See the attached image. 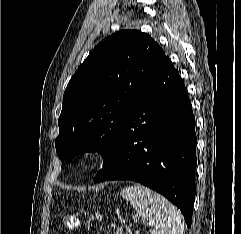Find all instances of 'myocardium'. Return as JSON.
Returning a JSON list of instances; mask_svg holds the SVG:
<instances>
[{
    "instance_id": "myocardium-1",
    "label": "myocardium",
    "mask_w": 241,
    "mask_h": 234,
    "mask_svg": "<svg viewBox=\"0 0 241 234\" xmlns=\"http://www.w3.org/2000/svg\"><path fill=\"white\" fill-rule=\"evenodd\" d=\"M104 152L97 146H90L82 150L79 155V163L82 167L89 168L96 165L102 158Z\"/></svg>"
}]
</instances>
